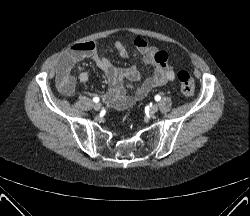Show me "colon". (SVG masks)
<instances>
[{
    "label": "colon",
    "instance_id": "colon-1",
    "mask_svg": "<svg viewBox=\"0 0 250 216\" xmlns=\"http://www.w3.org/2000/svg\"><path fill=\"white\" fill-rule=\"evenodd\" d=\"M177 78L180 83L182 94L185 97H192L195 92V84L190 74L186 71H180Z\"/></svg>",
    "mask_w": 250,
    "mask_h": 216
}]
</instances>
